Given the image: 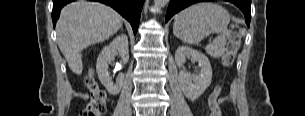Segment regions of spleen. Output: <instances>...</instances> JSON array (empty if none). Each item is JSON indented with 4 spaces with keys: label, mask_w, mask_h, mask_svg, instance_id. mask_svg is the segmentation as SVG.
<instances>
[{
    "label": "spleen",
    "mask_w": 305,
    "mask_h": 116,
    "mask_svg": "<svg viewBox=\"0 0 305 116\" xmlns=\"http://www.w3.org/2000/svg\"><path fill=\"white\" fill-rule=\"evenodd\" d=\"M230 22L229 13L220 5L203 2L191 5L175 16L173 32L185 43L197 45L210 33L223 34ZM221 36L213 47H223Z\"/></svg>",
    "instance_id": "spleen-1"
}]
</instances>
